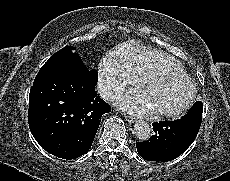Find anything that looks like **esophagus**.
<instances>
[{"mask_svg": "<svg viewBox=\"0 0 230 181\" xmlns=\"http://www.w3.org/2000/svg\"><path fill=\"white\" fill-rule=\"evenodd\" d=\"M124 117L130 123H134L135 122V118L132 117V116H130V115H128V114H124Z\"/></svg>", "mask_w": 230, "mask_h": 181, "instance_id": "1", "label": "esophagus"}]
</instances>
